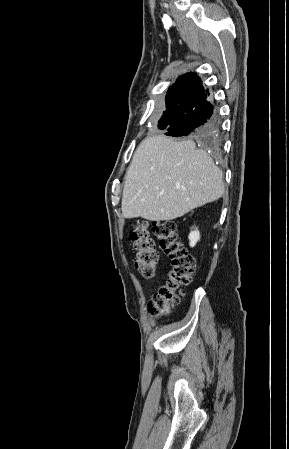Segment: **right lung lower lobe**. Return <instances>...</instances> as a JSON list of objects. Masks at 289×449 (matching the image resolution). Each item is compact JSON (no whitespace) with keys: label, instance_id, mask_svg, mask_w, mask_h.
Returning <instances> with one entry per match:
<instances>
[{"label":"right lung lower lobe","instance_id":"98d812e1","mask_svg":"<svg viewBox=\"0 0 289 449\" xmlns=\"http://www.w3.org/2000/svg\"><path fill=\"white\" fill-rule=\"evenodd\" d=\"M208 96L200 78L181 77L167 92L172 114L165 134L174 137L213 134L218 124Z\"/></svg>","mask_w":289,"mask_h":449}]
</instances>
